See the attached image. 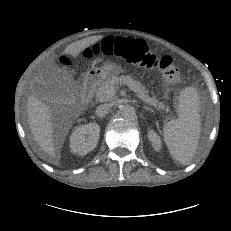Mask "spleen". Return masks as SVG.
<instances>
[{"instance_id":"obj_1","label":"spleen","mask_w":231,"mask_h":231,"mask_svg":"<svg viewBox=\"0 0 231 231\" xmlns=\"http://www.w3.org/2000/svg\"><path fill=\"white\" fill-rule=\"evenodd\" d=\"M200 132L198 93L187 87L180 94L178 118L168 121L163 127L164 142L175 161L185 165L192 160Z\"/></svg>"}]
</instances>
